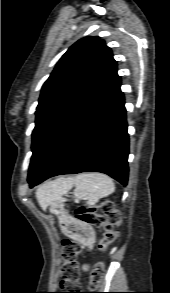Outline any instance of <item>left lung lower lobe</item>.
<instances>
[{"label":"left lung lower lobe","mask_w":170,"mask_h":293,"mask_svg":"<svg viewBox=\"0 0 170 293\" xmlns=\"http://www.w3.org/2000/svg\"><path fill=\"white\" fill-rule=\"evenodd\" d=\"M120 85L121 80L48 167L28 177L30 187L56 175L93 171L127 185L129 135Z\"/></svg>","instance_id":"0a47b994"}]
</instances>
